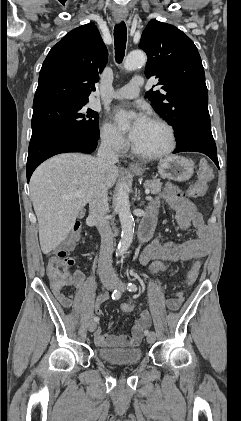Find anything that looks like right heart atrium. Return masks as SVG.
<instances>
[{"instance_id": "1", "label": "right heart atrium", "mask_w": 241, "mask_h": 421, "mask_svg": "<svg viewBox=\"0 0 241 421\" xmlns=\"http://www.w3.org/2000/svg\"><path fill=\"white\" fill-rule=\"evenodd\" d=\"M100 139L105 147L116 153H123L127 148L123 135L108 121L101 125Z\"/></svg>"}]
</instances>
